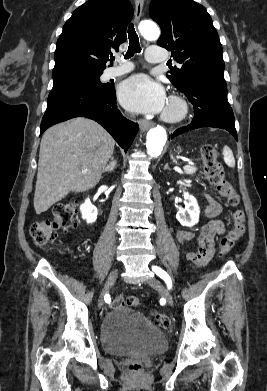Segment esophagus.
Returning <instances> with one entry per match:
<instances>
[{
	"mask_svg": "<svg viewBox=\"0 0 267 391\" xmlns=\"http://www.w3.org/2000/svg\"><path fill=\"white\" fill-rule=\"evenodd\" d=\"M143 6H144V0H135V22H136V25H138L140 18L142 16ZM153 125H154V123L150 122V121H146V120L139 121V126L142 131L148 130Z\"/></svg>",
	"mask_w": 267,
	"mask_h": 391,
	"instance_id": "1",
	"label": "esophagus"
}]
</instances>
